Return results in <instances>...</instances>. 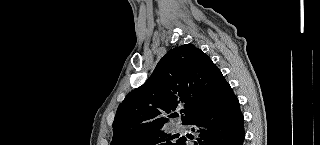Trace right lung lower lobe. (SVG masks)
I'll return each instance as SVG.
<instances>
[{"instance_id": "obj_1", "label": "right lung lower lobe", "mask_w": 320, "mask_h": 145, "mask_svg": "<svg viewBox=\"0 0 320 145\" xmlns=\"http://www.w3.org/2000/svg\"><path fill=\"white\" fill-rule=\"evenodd\" d=\"M210 104L186 124L193 125L199 138L190 144L181 137L178 145H242L244 118L237 97L223 75L213 88Z\"/></svg>"}]
</instances>
